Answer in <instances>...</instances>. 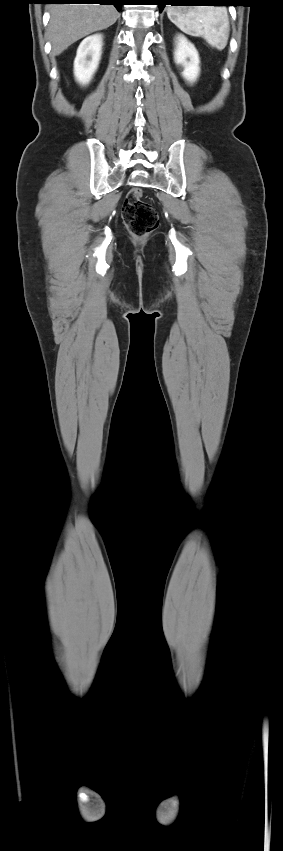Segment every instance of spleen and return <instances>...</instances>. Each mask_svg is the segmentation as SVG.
Listing matches in <instances>:
<instances>
[{
    "label": "spleen",
    "instance_id": "1",
    "mask_svg": "<svg viewBox=\"0 0 283 851\" xmlns=\"http://www.w3.org/2000/svg\"><path fill=\"white\" fill-rule=\"evenodd\" d=\"M167 16L184 33L202 37L213 48L223 50L228 42L230 23L225 7L168 6Z\"/></svg>",
    "mask_w": 283,
    "mask_h": 851
}]
</instances>
